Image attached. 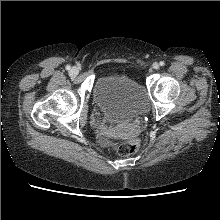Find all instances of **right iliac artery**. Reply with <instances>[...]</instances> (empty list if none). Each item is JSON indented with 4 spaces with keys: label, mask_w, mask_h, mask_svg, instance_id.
Segmentation results:
<instances>
[{
    "label": "right iliac artery",
    "mask_w": 220,
    "mask_h": 220,
    "mask_svg": "<svg viewBox=\"0 0 220 220\" xmlns=\"http://www.w3.org/2000/svg\"><path fill=\"white\" fill-rule=\"evenodd\" d=\"M66 69H67V70H70V66H66Z\"/></svg>",
    "instance_id": "obj_1"
}]
</instances>
